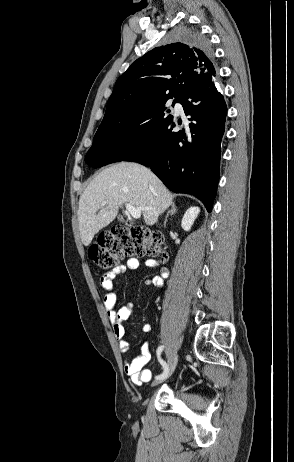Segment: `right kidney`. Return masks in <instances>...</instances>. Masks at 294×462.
I'll return each instance as SVG.
<instances>
[{
  "label": "right kidney",
  "instance_id": "1",
  "mask_svg": "<svg viewBox=\"0 0 294 462\" xmlns=\"http://www.w3.org/2000/svg\"><path fill=\"white\" fill-rule=\"evenodd\" d=\"M200 212V208L197 206L190 207L184 214L181 222L183 230L190 231L195 219Z\"/></svg>",
  "mask_w": 294,
  "mask_h": 462
}]
</instances>
